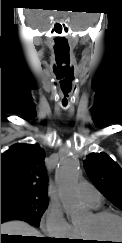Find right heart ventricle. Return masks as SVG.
<instances>
[{
  "mask_svg": "<svg viewBox=\"0 0 122 243\" xmlns=\"http://www.w3.org/2000/svg\"><path fill=\"white\" fill-rule=\"evenodd\" d=\"M100 207V205L99 206H97V207H92L93 209H98ZM77 236H80V234H79V232H78V235Z\"/></svg>",
  "mask_w": 122,
  "mask_h": 243,
  "instance_id": "e07e8e85",
  "label": "right heart ventricle"
}]
</instances>
